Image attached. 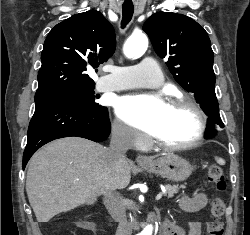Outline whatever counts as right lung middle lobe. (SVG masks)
Listing matches in <instances>:
<instances>
[{
    "label": "right lung middle lobe",
    "instance_id": "obj_1",
    "mask_svg": "<svg viewBox=\"0 0 250 235\" xmlns=\"http://www.w3.org/2000/svg\"><path fill=\"white\" fill-rule=\"evenodd\" d=\"M94 86L73 90L68 92H62L57 94H51L40 98H35V102L41 100L47 101H67V102H77L84 104L91 108H99L101 105L95 102Z\"/></svg>",
    "mask_w": 250,
    "mask_h": 235
}]
</instances>
